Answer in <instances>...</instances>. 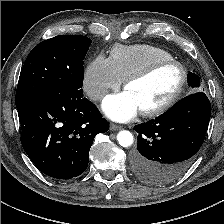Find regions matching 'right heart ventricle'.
Segmentation results:
<instances>
[{
    "mask_svg": "<svg viewBox=\"0 0 224 224\" xmlns=\"http://www.w3.org/2000/svg\"><path fill=\"white\" fill-rule=\"evenodd\" d=\"M166 59H173L171 53L160 47L147 44L117 45L110 54L112 66L122 81L153 62Z\"/></svg>",
    "mask_w": 224,
    "mask_h": 224,
    "instance_id": "right-heart-ventricle-1",
    "label": "right heart ventricle"
}]
</instances>
